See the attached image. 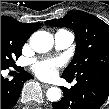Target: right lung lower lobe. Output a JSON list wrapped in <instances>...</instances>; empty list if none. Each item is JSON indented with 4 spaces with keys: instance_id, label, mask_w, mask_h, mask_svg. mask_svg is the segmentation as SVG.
<instances>
[{
    "instance_id": "98d812e1",
    "label": "right lung lower lobe",
    "mask_w": 109,
    "mask_h": 109,
    "mask_svg": "<svg viewBox=\"0 0 109 109\" xmlns=\"http://www.w3.org/2000/svg\"><path fill=\"white\" fill-rule=\"evenodd\" d=\"M31 78L26 71H20L11 81L1 76V109H12L15 106L24 81Z\"/></svg>"
}]
</instances>
